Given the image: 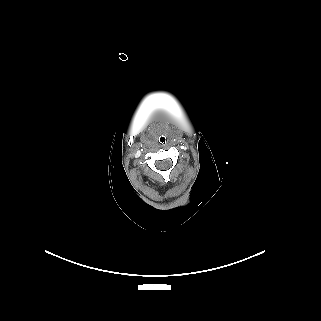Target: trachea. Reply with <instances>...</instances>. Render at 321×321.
I'll list each match as a JSON object with an SVG mask.
<instances>
[{
	"mask_svg": "<svg viewBox=\"0 0 321 321\" xmlns=\"http://www.w3.org/2000/svg\"><path fill=\"white\" fill-rule=\"evenodd\" d=\"M160 140H161V142L164 144V143L166 142V140H167V137H166L165 135H162V136L160 137Z\"/></svg>",
	"mask_w": 321,
	"mask_h": 321,
	"instance_id": "obj_1",
	"label": "trachea"
}]
</instances>
